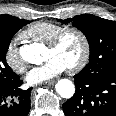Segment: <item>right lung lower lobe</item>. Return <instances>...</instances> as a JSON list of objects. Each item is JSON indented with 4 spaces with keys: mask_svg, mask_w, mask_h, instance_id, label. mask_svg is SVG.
Listing matches in <instances>:
<instances>
[{
    "mask_svg": "<svg viewBox=\"0 0 116 116\" xmlns=\"http://www.w3.org/2000/svg\"><path fill=\"white\" fill-rule=\"evenodd\" d=\"M22 80L0 86V116H27L30 111L31 88L21 90Z\"/></svg>",
    "mask_w": 116,
    "mask_h": 116,
    "instance_id": "obj_1",
    "label": "right lung lower lobe"
}]
</instances>
